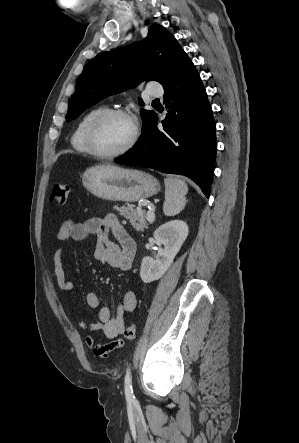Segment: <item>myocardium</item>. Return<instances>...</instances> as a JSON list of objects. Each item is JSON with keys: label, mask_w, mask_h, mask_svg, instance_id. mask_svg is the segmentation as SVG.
<instances>
[{"label": "myocardium", "mask_w": 299, "mask_h": 443, "mask_svg": "<svg viewBox=\"0 0 299 443\" xmlns=\"http://www.w3.org/2000/svg\"><path fill=\"white\" fill-rule=\"evenodd\" d=\"M125 117L129 119L132 122L133 125V132L132 136L129 140V142L120 150L112 153H103L99 151L95 144V136L96 133L100 127V125L108 118L110 117ZM139 125L136 121V119L126 110L118 109V108H112V109H105L98 113L89 123L86 133H85V143L86 147L91 155L98 159L103 160H110L118 158L126 153H128L137 143L139 138Z\"/></svg>", "instance_id": "1"}]
</instances>
